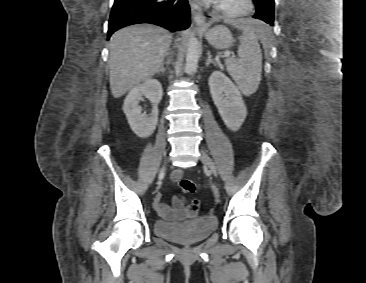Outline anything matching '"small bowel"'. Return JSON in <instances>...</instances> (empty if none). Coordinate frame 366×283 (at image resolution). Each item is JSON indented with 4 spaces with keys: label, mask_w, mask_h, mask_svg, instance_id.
<instances>
[{
    "label": "small bowel",
    "mask_w": 366,
    "mask_h": 283,
    "mask_svg": "<svg viewBox=\"0 0 366 283\" xmlns=\"http://www.w3.org/2000/svg\"><path fill=\"white\" fill-rule=\"evenodd\" d=\"M183 176V171L181 169H176L171 174V180L174 182L179 181ZM155 206L157 208V211L161 216L167 219H172L175 217L174 211L168 208V206L161 201V195H157L154 200ZM174 209L178 216H183L184 214V207L183 202L180 199L174 200Z\"/></svg>",
    "instance_id": "small-bowel-1"
}]
</instances>
